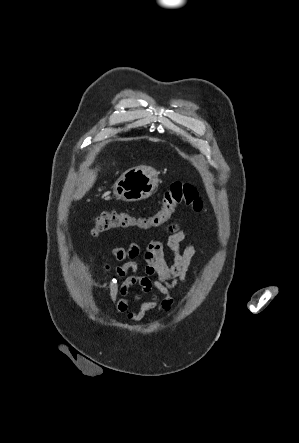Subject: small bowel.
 <instances>
[{
	"label": "small bowel",
	"mask_w": 299,
	"mask_h": 443,
	"mask_svg": "<svg viewBox=\"0 0 299 443\" xmlns=\"http://www.w3.org/2000/svg\"><path fill=\"white\" fill-rule=\"evenodd\" d=\"M166 232L168 234L167 247L172 254V263L168 264L165 259L164 245L158 240L149 242L143 258L145 266L141 268L136 259L141 255L140 246L131 242L127 247H114L111 250L112 256L120 262L113 268L114 274L123 278L122 283H110V299L116 310L120 313H127L128 319L140 321L145 316L155 310L162 309L167 312L171 309L173 298L170 295L171 289L178 284L186 282L187 273L191 261L196 254V247L193 244L182 249V243L186 239L185 232L177 223L170 224ZM111 267L104 263L103 272L108 278ZM133 286L140 288V293L129 297V291ZM156 291L148 300H141L142 295ZM133 302H140L136 311H129Z\"/></svg>",
	"instance_id": "1"
}]
</instances>
